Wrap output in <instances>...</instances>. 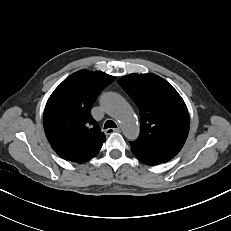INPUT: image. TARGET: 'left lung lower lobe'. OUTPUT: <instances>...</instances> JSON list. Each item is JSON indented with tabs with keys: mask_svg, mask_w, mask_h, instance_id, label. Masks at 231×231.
<instances>
[{
	"mask_svg": "<svg viewBox=\"0 0 231 231\" xmlns=\"http://www.w3.org/2000/svg\"><path fill=\"white\" fill-rule=\"evenodd\" d=\"M133 154L139 159L141 162L147 165H157L161 163H165L172 159L169 156L161 155V154H152V153H145L134 148H131Z\"/></svg>",
	"mask_w": 231,
	"mask_h": 231,
	"instance_id": "0a47b994",
	"label": "left lung lower lobe"
}]
</instances>
